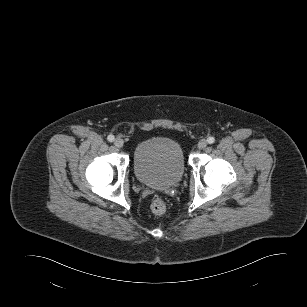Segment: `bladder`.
Returning <instances> with one entry per match:
<instances>
[{
  "mask_svg": "<svg viewBox=\"0 0 307 307\" xmlns=\"http://www.w3.org/2000/svg\"><path fill=\"white\" fill-rule=\"evenodd\" d=\"M186 161L180 143L168 137H155L137 145L133 170L137 180L153 188H169L183 177Z\"/></svg>",
  "mask_w": 307,
  "mask_h": 307,
  "instance_id": "1",
  "label": "bladder"
}]
</instances>
